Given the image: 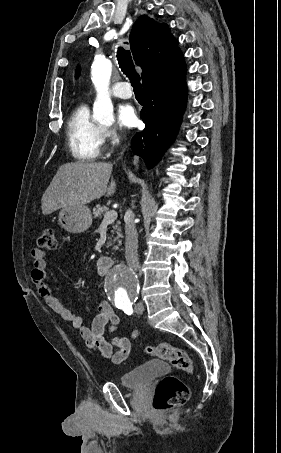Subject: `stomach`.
<instances>
[{
  "mask_svg": "<svg viewBox=\"0 0 281 453\" xmlns=\"http://www.w3.org/2000/svg\"><path fill=\"white\" fill-rule=\"evenodd\" d=\"M58 222L68 233H84L92 224V214L88 206H63L58 214Z\"/></svg>",
  "mask_w": 281,
  "mask_h": 453,
  "instance_id": "0dacf381",
  "label": "stomach"
}]
</instances>
